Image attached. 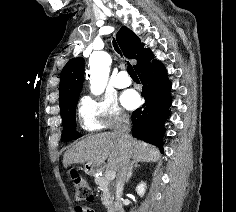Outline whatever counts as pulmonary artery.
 Returning <instances> with one entry per match:
<instances>
[{
  "label": "pulmonary artery",
  "mask_w": 236,
  "mask_h": 212,
  "mask_svg": "<svg viewBox=\"0 0 236 212\" xmlns=\"http://www.w3.org/2000/svg\"><path fill=\"white\" fill-rule=\"evenodd\" d=\"M131 83H132V81L126 72L122 71V72L118 73V75L116 77V82H115L116 87L125 88V87L130 86Z\"/></svg>",
  "instance_id": "e3ab8cb5"
}]
</instances>
